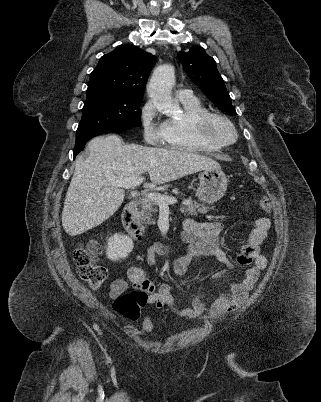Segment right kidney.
<instances>
[{"label": "right kidney", "instance_id": "ca27d5eb", "mask_svg": "<svg viewBox=\"0 0 321 402\" xmlns=\"http://www.w3.org/2000/svg\"><path fill=\"white\" fill-rule=\"evenodd\" d=\"M134 244L129 236L115 234L108 239L106 255L112 261L125 259L133 250Z\"/></svg>", "mask_w": 321, "mask_h": 402}]
</instances>
